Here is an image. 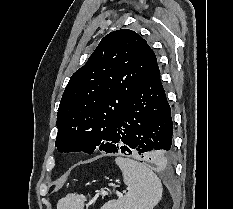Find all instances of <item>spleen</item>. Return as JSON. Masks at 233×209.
Instances as JSON below:
<instances>
[{
  "label": "spleen",
  "mask_w": 233,
  "mask_h": 209,
  "mask_svg": "<svg viewBox=\"0 0 233 209\" xmlns=\"http://www.w3.org/2000/svg\"><path fill=\"white\" fill-rule=\"evenodd\" d=\"M116 164L122 171L128 192L118 200H110L101 209H153L162 198V184L157 175L145 165L118 157ZM86 197L76 193L66 195L57 203V209H83Z\"/></svg>",
  "instance_id": "spleen-1"
}]
</instances>
